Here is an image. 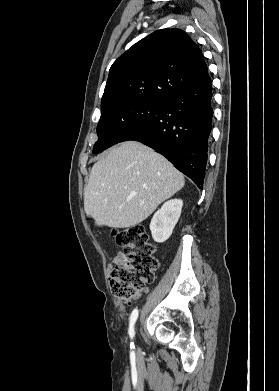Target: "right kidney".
Instances as JSON below:
<instances>
[{"label":"right kidney","mask_w":279,"mask_h":391,"mask_svg":"<svg viewBox=\"0 0 279 391\" xmlns=\"http://www.w3.org/2000/svg\"><path fill=\"white\" fill-rule=\"evenodd\" d=\"M182 206L181 199H171L156 211L150 223V231L154 241L162 243L171 236L181 215Z\"/></svg>","instance_id":"ca27d5eb"}]
</instances>
